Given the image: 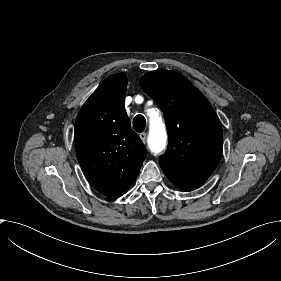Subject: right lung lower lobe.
Segmentation results:
<instances>
[{
    "instance_id": "1",
    "label": "right lung lower lobe",
    "mask_w": 281,
    "mask_h": 281,
    "mask_svg": "<svg viewBox=\"0 0 281 281\" xmlns=\"http://www.w3.org/2000/svg\"><path fill=\"white\" fill-rule=\"evenodd\" d=\"M130 186H131V185H130ZM130 186H129V187H130ZM129 187H128V188H129ZM128 188L122 193V195L128 190ZM120 196H121V195H120Z\"/></svg>"
}]
</instances>
